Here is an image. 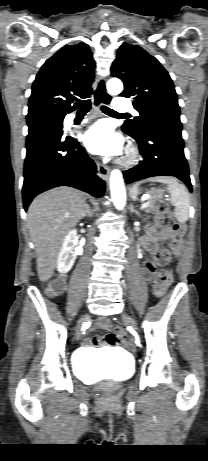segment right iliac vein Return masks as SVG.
<instances>
[{
    "label": "right iliac vein",
    "mask_w": 208,
    "mask_h": 461,
    "mask_svg": "<svg viewBox=\"0 0 208 461\" xmlns=\"http://www.w3.org/2000/svg\"><path fill=\"white\" fill-rule=\"evenodd\" d=\"M85 319H86V316H84V318H83L82 320L84 321ZM79 335H80V333H79V332H77V334H76V337L78 338V337H79Z\"/></svg>",
    "instance_id": "63e3f726"
}]
</instances>
